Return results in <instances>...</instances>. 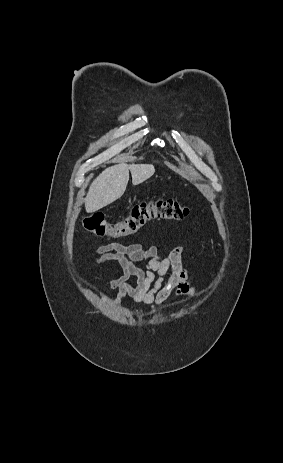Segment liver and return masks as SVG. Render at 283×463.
Listing matches in <instances>:
<instances>
[{
  "instance_id": "liver-1",
  "label": "liver",
  "mask_w": 283,
  "mask_h": 463,
  "mask_svg": "<svg viewBox=\"0 0 283 463\" xmlns=\"http://www.w3.org/2000/svg\"><path fill=\"white\" fill-rule=\"evenodd\" d=\"M129 170L133 185L144 182L155 172V168L151 164L120 163L105 169L89 188L85 199L86 212L98 211L119 199L126 190Z\"/></svg>"
}]
</instances>
